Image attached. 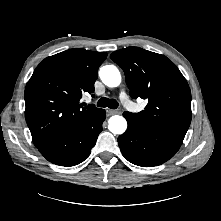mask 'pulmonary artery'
I'll return each instance as SVG.
<instances>
[{
  "label": "pulmonary artery",
  "mask_w": 221,
  "mask_h": 221,
  "mask_svg": "<svg viewBox=\"0 0 221 221\" xmlns=\"http://www.w3.org/2000/svg\"><path fill=\"white\" fill-rule=\"evenodd\" d=\"M120 98L122 99V101H123L124 104L127 103V94H126V92H125L124 90H122V91L120 92ZM127 107H128L129 109H132V108H133V105H132L131 103H128V104H127Z\"/></svg>",
  "instance_id": "pulmonary-artery-1"
}]
</instances>
